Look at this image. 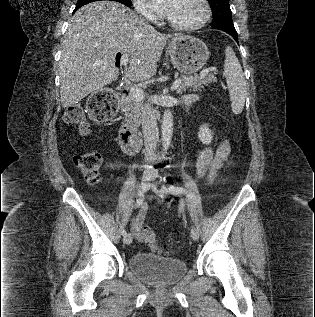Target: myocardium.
I'll return each mask as SVG.
<instances>
[{
  "instance_id": "1",
  "label": "myocardium",
  "mask_w": 315,
  "mask_h": 317,
  "mask_svg": "<svg viewBox=\"0 0 315 317\" xmlns=\"http://www.w3.org/2000/svg\"><path fill=\"white\" fill-rule=\"evenodd\" d=\"M202 6H203V16L202 18L195 22V23H191V24H179L174 22L173 20H171L169 17L167 18V22L168 24L177 29V30H182V31H192V30H197L202 28L203 26H205L207 24V22L210 19L211 16V7L210 4L208 2V0H200Z\"/></svg>"
}]
</instances>
